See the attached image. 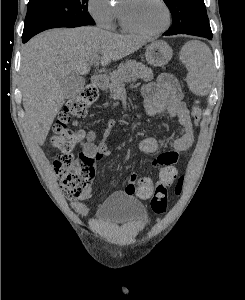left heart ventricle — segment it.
<instances>
[{"instance_id": "left-heart-ventricle-1", "label": "left heart ventricle", "mask_w": 245, "mask_h": 300, "mask_svg": "<svg viewBox=\"0 0 245 300\" xmlns=\"http://www.w3.org/2000/svg\"><path fill=\"white\" fill-rule=\"evenodd\" d=\"M128 18L145 30H157L166 23V13L159 0H124Z\"/></svg>"}]
</instances>
